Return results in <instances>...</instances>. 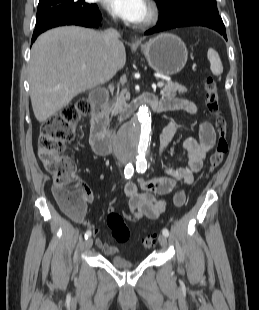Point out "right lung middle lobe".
Returning a JSON list of instances; mask_svg holds the SVG:
<instances>
[{"instance_id": "right-lung-middle-lobe-1", "label": "right lung middle lobe", "mask_w": 259, "mask_h": 310, "mask_svg": "<svg viewBox=\"0 0 259 310\" xmlns=\"http://www.w3.org/2000/svg\"><path fill=\"white\" fill-rule=\"evenodd\" d=\"M96 8L85 0H39L35 27L53 17H78Z\"/></svg>"}]
</instances>
